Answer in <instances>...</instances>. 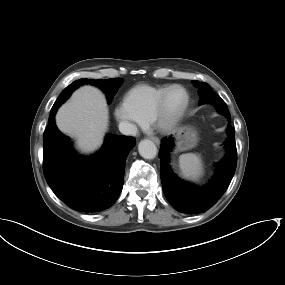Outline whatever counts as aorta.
I'll return each instance as SVG.
<instances>
[{
  "instance_id": "762f6f07",
  "label": "aorta",
  "mask_w": 285,
  "mask_h": 285,
  "mask_svg": "<svg viewBox=\"0 0 285 285\" xmlns=\"http://www.w3.org/2000/svg\"><path fill=\"white\" fill-rule=\"evenodd\" d=\"M139 154L145 159H154L157 155V147L151 140L144 139L138 145Z\"/></svg>"
}]
</instances>
